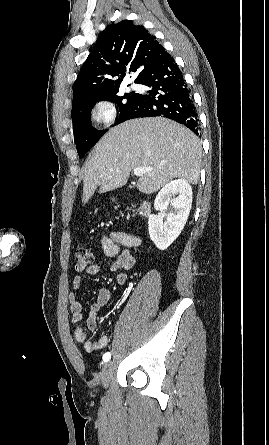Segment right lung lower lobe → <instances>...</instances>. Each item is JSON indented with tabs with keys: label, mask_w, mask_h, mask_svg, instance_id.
<instances>
[{
	"label": "right lung lower lobe",
	"mask_w": 269,
	"mask_h": 445,
	"mask_svg": "<svg viewBox=\"0 0 269 445\" xmlns=\"http://www.w3.org/2000/svg\"><path fill=\"white\" fill-rule=\"evenodd\" d=\"M138 83L152 87V90L148 94L139 95L126 120L162 116L183 124L196 135H200L193 96L171 56L148 70Z\"/></svg>",
	"instance_id": "1"
}]
</instances>
